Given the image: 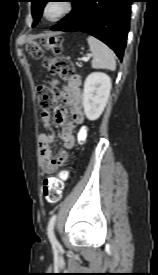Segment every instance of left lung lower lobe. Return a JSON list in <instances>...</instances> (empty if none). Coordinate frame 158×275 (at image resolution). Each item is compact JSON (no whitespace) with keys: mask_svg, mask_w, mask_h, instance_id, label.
Instances as JSON below:
<instances>
[{"mask_svg":"<svg viewBox=\"0 0 158 275\" xmlns=\"http://www.w3.org/2000/svg\"><path fill=\"white\" fill-rule=\"evenodd\" d=\"M73 10L52 30L82 31L107 44L120 60L129 31L134 0H71Z\"/></svg>","mask_w":158,"mask_h":275,"instance_id":"left-lung-lower-lobe-1","label":"left lung lower lobe"}]
</instances>
